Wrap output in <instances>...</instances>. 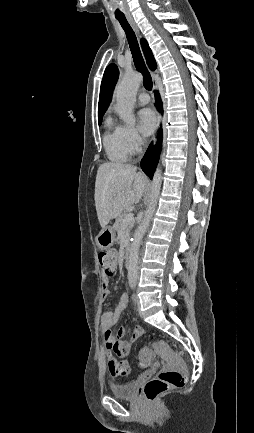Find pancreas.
I'll return each mask as SVG.
<instances>
[{"instance_id":"obj_1","label":"pancreas","mask_w":254,"mask_h":433,"mask_svg":"<svg viewBox=\"0 0 254 433\" xmlns=\"http://www.w3.org/2000/svg\"><path fill=\"white\" fill-rule=\"evenodd\" d=\"M127 214H128L127 212H123L117 216V218L115 219L114 228L116 231L124 229L125 230V236L127 238H129L131 229L134 225V222L132 221L130 223L124 224L123 220Z\"/></svg>"}]
</instances>
